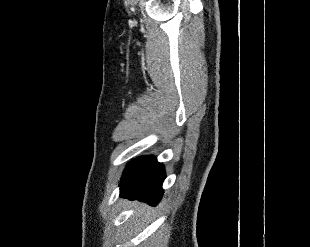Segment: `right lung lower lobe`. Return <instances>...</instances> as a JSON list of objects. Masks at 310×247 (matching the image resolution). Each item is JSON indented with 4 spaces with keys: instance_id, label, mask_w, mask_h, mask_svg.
Wrapping results in <instances>:
<instances>
[{
    "instance_id": "right-lung-lower-lobe-1",
    "label": "right lung lower lobe",
    "mask_w": 310,
    "mask_h": 247,
    "mask_svg": "<svg viewBox=\"0 0 310 247\" xmlns=\"http://www.w3.org/2000/svg\"><path fill=\"white\" fill-rule=\"evenodd\" d=\"M164 167L153 156L141 157L131 162L124 171L120 196L147 201L156 205L163 194Z\"/></svg>"
}]
</instances>
